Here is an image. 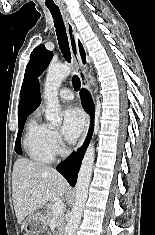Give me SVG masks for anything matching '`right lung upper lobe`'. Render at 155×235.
<instances>
[{
	"instance_id": "cb5924a9",
	"label": "right lung upper lobe",
	"mask_w": 155,
	"mask_h": 235,
	"mask_svg": "<svg viewBox=\"0 0 155 235\" xmlns=\"http://www.w3.org/2000/svg\"><path fill=\"white\" fill-rule=\"evenodd\" d=\"M79 50L83 62L85 63V52L81 43L79 42ZM41 103V96L39 91V83L36 80L30 84L26 89H21L20 102L18 107V120L27 117L32 113Z\"/></svg>"
}]
</instances>
